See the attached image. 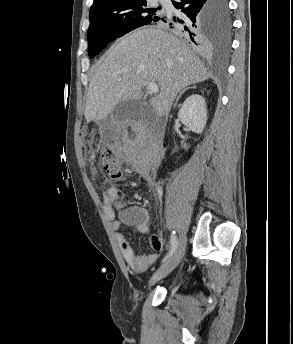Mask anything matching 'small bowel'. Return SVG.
I'll use <instances>...</instances> for the list:
<instances>
[{
  "mask_svg": "<svg viewBox=\"0 0 293 344\" xmlns=\"http://www.w3.org/2000/svg\"><path fill=\"white\" fill-rule=\"evenodd\" d=\"M119 188L115 185L109 186L104 194H103V201H104V212L107 219L111 223V229L114 232L116 242L120 249V252L128 264L130 269L135 274H142L144 273L150 265L157 262L159 260L158 254H149V255H136L129 242L125 238V236L121 233V227L123 222L116 217L113 204L116 201L118 196ZM148 228V227H147ZM141 231H145L140 229ZM151 246L156 251H162L164 247V239L160 235H153L150 239Z\"/></svg>",
  "mask_w": 293,
  "mask_h": 344,
  "instance_id": "obj_1",
  "label": "small bowel"
}]
</instances>
